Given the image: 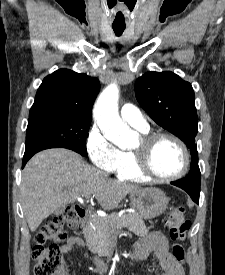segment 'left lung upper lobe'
Wrapping results in <instances>:
<instances>
[{"label": "left lung upper lobe", "mask_w": 225, "mask_h": 275, "mask_svg": "<svg viewBox=\"0 0 225 275\" xmlns=\"http://www.w3.org/2000/svg\"><path fill=\"white\" fill-rule=\"evenodd\" d=\"M138 102L161 127L179 137L192 155L189 174L201 176L195 144L198 118L190 83L173 72H147L135 82Z\"/></svg>", "instance_id": "left-lung-upper-lobe-1"}]
</instances>
